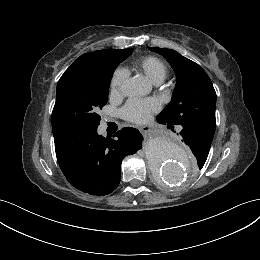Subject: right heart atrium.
<instances>
[{
    "label": "right heart atrium",
    "mask_w": 260,
    "mask_h": 260,
    "mask_svg": "<svg viewBox=\"0 0 260 260\" xmlns=\"http://www.w3.org/2000/svg\"><path fill=\"white\" fill-rule=\"evenodd\" d=\"M128 78L127 70L123 68H118L113 73L111 82H110V93L112 95H119L123 89V86Z\"/></svg>",
    "instance_id": "right-heart-atrium-1"
}]
</instances>
